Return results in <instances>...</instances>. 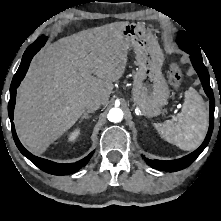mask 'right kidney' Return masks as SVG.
Listing matches in <instances>:
<instances>
[{"instance_id":"ca27d5eb","label":"right kidney","mask_w":221,"mask_h":221,"mask_svg":"<svg viewBox=\"0 0 221 221\" xmlns=\"http://www.w3.org/2000/svg\"><path fill=\"white\" fill-rule=\"evenodd\" d=\"M80 134V129H75L73 130L69 135H68V141L73 142L76 140V138Z\"/></svg>"}]
</instances>
